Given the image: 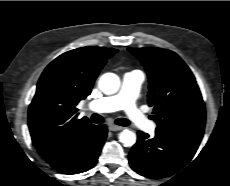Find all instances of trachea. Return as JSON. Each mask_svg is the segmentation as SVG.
I'll return each mask as SVG.
<instances>
[{"label": "trachea", "instance_id": "1", "mask_svg": "<svg viewBox=\"0 0 230 186\" xmlns=\"http://www.w3.org/2000/svg\"><path fill=\"white\" fill-rule=\"evenodd\" d=\"M91 121L93 123H103L104 122V119L101 115L99 114H92L91 116ZM115 123L119 126H128L130 125V121L128 119H125V118H118L115 120Z\"/></svg>", "mask_w": 230, "mask_h": 186}]
</instances>
